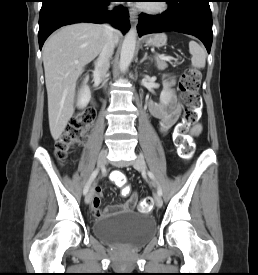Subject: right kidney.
Here are the masks:
<instances>
[{
    "label": "right kidney",
    "mask_w": 258,
    "mask_h": 275,
    "mask_svg": "<svg viewBox=\"0 0 258 275\" xmlns=\"http://www.w3.org/2000/svg\"><path fill=\"white\" fill-rule=\"evenodd\" d=\"M86 81L87 79H85L82 88L80 89V92L78 94V99H77V106L82 109L85 108L87 106V104L89 103L90 100V91L88 89V87L86 86Z\"/></svg>",
    "instance_id": "obj_1"
}]
</instances>
